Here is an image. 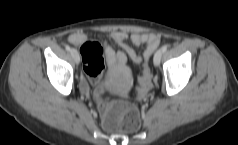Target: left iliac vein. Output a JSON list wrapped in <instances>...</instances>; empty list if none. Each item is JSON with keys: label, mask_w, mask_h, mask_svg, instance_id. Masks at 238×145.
<instances>
[{"label": "left iliac vein", "mask_w": 238, "mask_h": 145, "mask_svg": "<svg viewBox=\"0 0 238 145\" xmlns=\"http://www.w3.org/2000/svg\"><path fill=\"white\" fill-rule=\"evenodd\" d=\"M162 54L163 53H162L161 50L156 51V53L154 54L153 63H154L155 66H158L160 64Z\"/></svg>", "instance_id": "left-iliac-vein-1"}]
</instances>
